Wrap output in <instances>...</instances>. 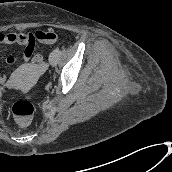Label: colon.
Masks as SVG:
<instances>
[{
	"mask_svg": "<svg viewBox=\"0 0 172 172\" xmlns=\"http://www.w3.org/2000/svg\"><path fill=\"white\" fill-rule=\"evenodd\" d=\"M57 37L58 35L56 32L52 30H48L44 34L42 41L45 43H53L54 41H56ZM35 59L36 61L34 62L41 64L43 66V58L40 54L36 56ZM34 111H35L34 105L32 104L31 101L27 99H23L15 102L12 107V112L17 122L23 127H26L29 124L34 114Z\"/></svg>",
	"mask_w": 172,
	"mask_h": 172,
	"instance_id": "colon-1",
	"label": "colon"
}]
</instances>
